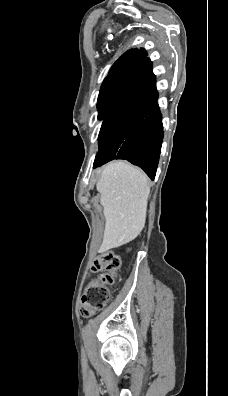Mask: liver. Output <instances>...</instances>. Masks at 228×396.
<instances>
[{
    "label": "liver",
    "instance_id": "6515ba94",
    "mask_svg": "<svg viewBox=\"0 0 228 396\" xmlns=\"http://www.w3.org/2000/svg\"><path fill=\"white\" fill-rule=\"evenodd\" d=\"M105 216L100 252L134 240L143 230L150 193L147 176L124 161L108 164L96 185Z\"/></svg>",
    "mask_w": 228,
    "mask_h": 396
}]
</instances>
